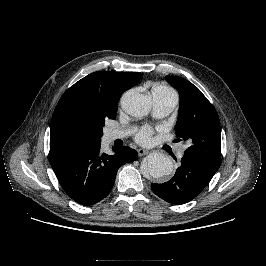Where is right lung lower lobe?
Wrapping results in <instances>:
<instances>
[{
    "label": "right lung lower lobe",
    "mask_w": 266,
    "mask_h": 266,
    "mask_svg": "<svg viewBox=\"0 0 266 266\" xmlns=\"http://www.w3.org/2000/svg\"><path fill=\"white\" fill-rule=\"evenodd\" d=\"M101 142H60L50 145V163L67 195L90 206L111 191L119 167L138 159L131 148H113L114 155L100 151Z\"/></svg>",
    "instance_id": "obj_1"
}]
</instances>
